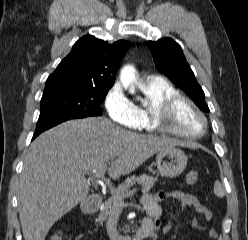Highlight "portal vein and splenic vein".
I'll list each match as a JSON object with an SVG mask.
<instances>
[{"mask_svg": "<svg viewBox=\"0 0 248 240\" xmlns=\"http://www.w3.org/2000/svg\"><path fill=\"white\" fill-rule=\"evenodd\" d=\"M106 168H107V165L106 164L100 165L96 169L91 170V172L94 174L95 178L102 179V180L106 181L107 184H108V186L111 187L112 192H114L115 191V188L112 187V184L109 182V180H107L105 178ZM134 193H135V190L129 191L128 193H126L125 197L131 196ZM123 206H124V203H122V204L119 205V207H123Z\"/></svg>", "mask_w": 248, "mask_h": 240, "instance_id": "1", "label": "portal vein and splenic vein"}]
</instances>
